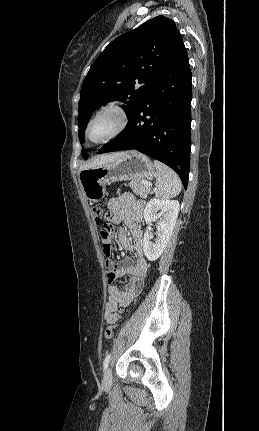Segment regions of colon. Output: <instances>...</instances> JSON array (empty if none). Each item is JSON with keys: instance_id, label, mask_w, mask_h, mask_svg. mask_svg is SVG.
<instances>
[{"instance_id": "colon-1", "label": "colon", "mask_w": 259, "mask_h": 431, "mask_svg": "<svg viewBox=\"0 0 259 431\" xmlns=\"http://www.w3.org/2000/svg\"><path fill=\"white\" fill-rule=\"evenodd\" d=\"M93 214L95 216L96 222L99 224V233L101 237V241L103 243V252L106 256L110 254L111 247L110 241L113 234V226L108 222H101L103 209L100 205H94ZM116 326L114 324L109 325L105 330V337L107 339H112L114 336Z\"/></svg>"}]
</instances>
